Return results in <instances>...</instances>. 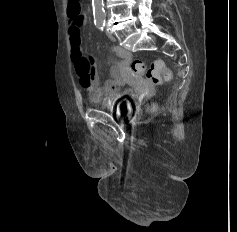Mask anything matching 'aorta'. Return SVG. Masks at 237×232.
Masks as SVG:
<instances>
[{
	"mask_svg": "<svg viewBox=\"0 0 237 232\" xmlns=\"http://www.w3.org/2000/svg\"><path fill=\"white\" fill-rule=\"evenodd\" d=\"M92 7L95 23H104L106 14L104 11L103 0H92Z\"/></svg>",
	"mask_w": 237,
	"mask_h": 232,
	"instance_id": "762f6f07",
	"label": "aorta"
}]
</instances>
